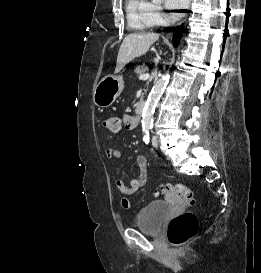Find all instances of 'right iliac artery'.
Masks as SVG:
<instances>
[{"mask_svg":"<svg viewBox=\"0 0 261 273\" xmlns=\"http://www.w3.org/2000/svg\"><path fill=\"white\" fill-rule=\"evenodd\" d=\"M144 132V136H143V141L148 144L149 140H150V134L149 131L147 129H143Z\"/></svg>","mask_w":261,"mask_h":273,"instance_id":"82829eb1","label":"right iliac artery"}]
</instances>
